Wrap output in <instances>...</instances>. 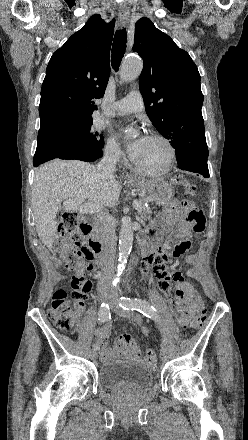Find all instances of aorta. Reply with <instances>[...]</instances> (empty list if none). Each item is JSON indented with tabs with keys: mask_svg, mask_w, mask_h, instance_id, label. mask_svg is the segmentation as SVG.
I'll use <instances>...</instances> for the list:
<instances>
[{
	"mask_svg": "<svg viewBox=\"0 0 248 440\" xmlns=\"http://www.w3.org/2000/svg\"><path fill=\"white\" fill-rule=\"evenodd\" d=\"M143 69V62L140 58L128 57L121 65V78L125 82L136 79ZM130 135L128 134L127 137ZM133 245V227L132 220L128 216H124L121 220V228L119 233V259L118 270L123 271L127 263Z\"/></svg>",
	"mask_w": 248,
	"mask_h": 440,
	"instance_id": "aorta-1",
	"label": "aorta"
}]
</instances>
